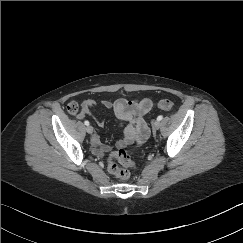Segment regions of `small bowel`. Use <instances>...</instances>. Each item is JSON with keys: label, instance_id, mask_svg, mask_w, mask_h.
Here are the masks:
<instances>
[{"label": "small bowel", "instance_id": "c3829d8e", "mask_svg": "<svg viewBox=\"0 0 243 243\" xmlns=\"http://www.w3.org/2000/svg\"><path fill=\"white\" fill-rule=\"evenodd\" d=\"M93 100H86L82 103V109L78 113V118H83L86 114H91L94 107ZM102 105L111 109L117 119L122 123V137L117 141L115 147L119 150H125L131 146L141 145L148 136V130L144 121V116L153 108V101L150 98L124 99L119 98L115 101L105 100ZM98 124L102 126V120H98ZM93 145L92 152L98 157H102L105 153L112 152V147L101 143L98 136L91 139Z\"/></svg>", "mask_w": 243, "mask_h": 243}]
</instances>
